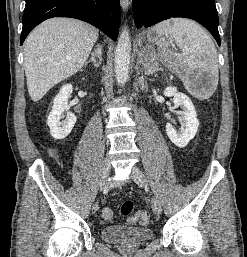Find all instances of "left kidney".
Instances as JSON below:
<instances>
[{"label": "left kidney", "mask_w": 247, "mask_h": 257, "mask_svg": "<svg viewBox=\"0 0 247 257\" xmlns=\"http://www.w3.org/2000/svg\"><path fill=\"white\" fill-rule=\"evenodd\" d=\"M164 95L167 97H173L174 105L181 106L184 110L182 112V118L185 121V126L182 128L181 133H177L170 123L166 124V133L169 139L176 146L184 148L190 140L194 138L199 126L194 105L190 98L184 93L178 92L176 87H167L164 90Z\"/></svg>", "instance_id": "1"}]
</instances>
